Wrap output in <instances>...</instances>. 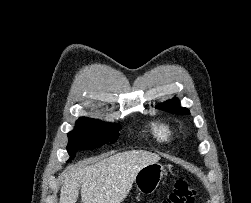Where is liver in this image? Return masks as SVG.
<instances>
[{"mask_svg":"<svg viewBox=\"0 0 251 203\" xmlns=\"http://www.w3.org/2000/svg\"><path fill=\"white\" fill-rule=\"evenodd\" d=\"M160 156L143 150L117 153L90 166L73 165L62 174L59 203H121L129 194L137 172Z\"/></svg>","mask_w":251,"mask_h":203,"instance_id":"6515ba94","label":"liver"}]
</instances>
